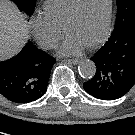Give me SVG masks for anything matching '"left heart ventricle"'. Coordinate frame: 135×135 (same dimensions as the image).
I'll return each mask as SVG.
<instances>
[{"mask_svg":"<svg viewBox=\"0 0 135 135\" xmlns=\"http://www.w3.org/2000/svg\"><path fill=\"white\" fill-rule=\"evenodd\" d=\"M108 11V0H84L79 15L70 23L67 34L84 44L97 39L103 32Z\"/></svg>","mask_w":135,"mask_h":135,"instance_id":"left-heart-ventricle-1","label":"left heart ventricle"}]
</instances>
